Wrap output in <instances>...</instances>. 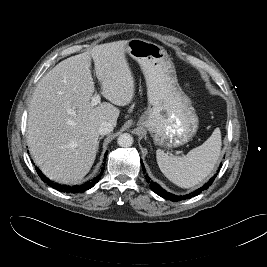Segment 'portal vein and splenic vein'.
<instances>
[{
  "label": "portal vein and splenic vein",
  "instance_id": "obj_1",
  "mask_svg": "<svg viewBox=\"0 0 267 267\" xmlns=\"http://www.w3.org/2000/svg\"><path fill=\"white\" fill-rule=\"evenodd\" d=\"M100 100H101L100 95H96V96L92 97L91 106L94 107V106L98 105V103L100 102ZM69 113L70 114H74L75 112H74V110H69Z\"/></svg>",
  "mask_w": 267,
  "mask_h": 267
}]
</instances>
